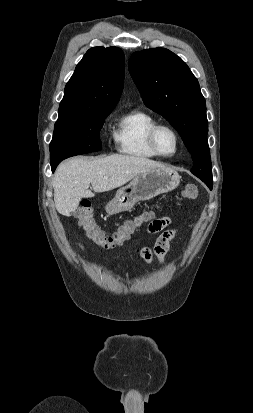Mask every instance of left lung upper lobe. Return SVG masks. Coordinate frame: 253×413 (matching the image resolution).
<instances>
[{
    "mask_svg": "<svg viewBox=\"0 0 253 413\" xmlns=\"http://www.w3.org/2000/svg\"><path fill=\"white\" fill-rule=\"evenodd\" d=\"M129 71L145 105L180 134L194 162L191 172L212 179L206 103L186 63L168 49H146L132 54Z\"/></svg>",
    "mask_w": 253,
    "mask_h": 413,
    "instance_id": "left-lung-upper-lobe-1",
    "label": "left lung upper lobe"
}]
</instances>
